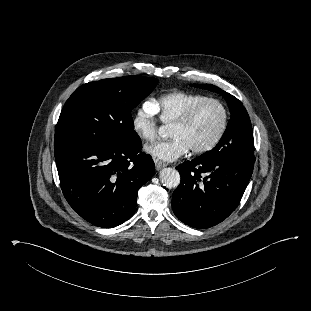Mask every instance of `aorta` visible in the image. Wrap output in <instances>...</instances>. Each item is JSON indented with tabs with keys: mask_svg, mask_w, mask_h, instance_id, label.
I'll use <instances>...</instances> for the list:
<instances>
[{
	"mask_svg": "<svg viewBox=\"0 0 311 311\" xmlns=\"http://www.w3.org/2000/svg\"><path fill=\"white\" fill-rule=\"evenodd\" d=\"M158 134L162 138L168 136V128L164 125L158 128ZM159 178L166 188H176L180 184V175L174 168H164L159 173Z\"/></svg>",
	"mask_w": 311,
	"mask_h": 311,
	"instance_id": "1",
	"label": "aorta"
}]
</instances>
